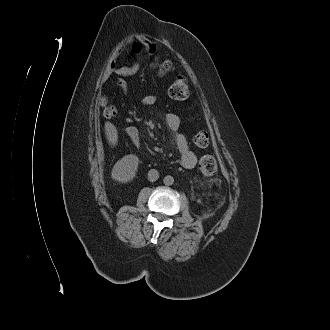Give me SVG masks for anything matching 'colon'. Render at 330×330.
Instances as JSON below:
<instances>
[{"label":"colon","mask_w":330,"mask_h":330,"mask_svg":"<svg viewBox=\"0 0 330 330\" xmlns=\"http://www.w3.org/2000/svg\"><path fill=\"white\" fill-rule=\"evenodd\" d=\"M153 66L158 70L159 74L165 76L173 70V65L170 61L155 62ZM169 94L172 98L184 100L188 98L190 89L188 82L185 78H178L171 86ZM102 105L104 106V116L112 118L116 115V108L110 104L106 99H102ZM195 143L199 147H206L209 143V136L206 132H199L195 136ZM199 168L204 175L211 176L215 174L217 170V163L212 156H203L199 161Z\"/></svg>","instance_id":"5ec220e1"}]
</instances>
